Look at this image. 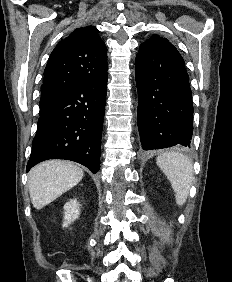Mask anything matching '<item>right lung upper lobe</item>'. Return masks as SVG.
<instances>
[{
    "mask_svg": "<svg viewBox=\"0 0 232 282\" xmlns=\"http://www.w3.org/2000/svg\"><path fill=\"white\" fill-rule=\"evenodd\" d=\"M107 73L105 43L94 26L75 29L53 50L44 71L42 96L56 100L69 88Z\"/></svg>",
    "mask_w": 232,
    "mask_h": 282,
    "instance_id": "right-lung-upper-lobe-1",
    "label": "right lung upper lobe"
}]
</instances>
